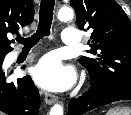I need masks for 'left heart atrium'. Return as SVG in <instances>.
I'll return each mask as SVG.
<instances>
[{"label":"left heart atrium","instance_id":"left-heart-atrium-1","mask_svg":"<svg viewBox=\"0 0 131 115\" xmlns=\"http://www.w3.org/2000/svg\"><path fill=\"white\" fill-rule=\"evenodd\" d=\"M35 81L50 90H62L69 87L74 80V73L64 67L53 55L43 57L31 70Z\"/></svg>","mask_w":131,"mask_h":115}]
</instances>
